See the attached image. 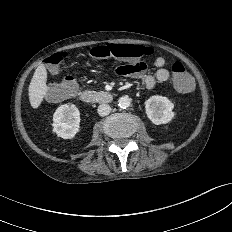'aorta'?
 I'll return each instance as SVG.
<instances>
[{"mask_svg":"<svg viewBox=\"0 0 232 232\" xmlns=\"http://www.w3.org/2000/svg\"><path fill=\"white\" fill-rule=\"evenodd\" d=\"M131 100L128 96H122L118 100V105L122 109H126L130 106Z\"/></svg>","mask_w":232,"mask_h":232,"instance_id":"obj_1","label":"aorta"}]
</instances>
